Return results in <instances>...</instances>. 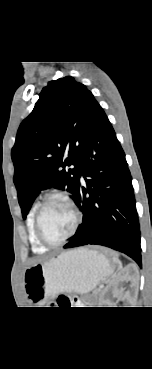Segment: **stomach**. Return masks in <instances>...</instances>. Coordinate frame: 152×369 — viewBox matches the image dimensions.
<instances>
[{
  "label": "stomach",
  "mask_w": 152,
  "mask_h": 369,
  "mask_svg": "<svg viewBox=\"0 0 152 369\" xmlns=\"http://www.w3.org/2000/svg\"><path fill=\"white\" fill-rule=\"evenodd\" d=\"M110 260L96 251L79 248L65 251L24 272L29 302H46L59 293H88L113 273Z\"/></svg>",
  "instance_id": "1"
}]
</instances>
